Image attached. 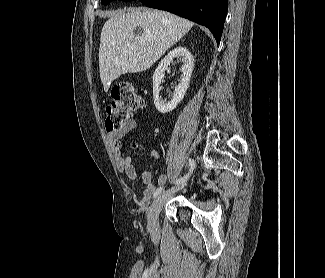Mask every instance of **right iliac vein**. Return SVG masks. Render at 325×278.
<instances>
[{"instance_id": "right-iliac-vein-1", "label": "right iliac vein", "mask_w": 325, "mask_h": 278, "mask_svg": "<svg viewBox=\"0 0 325 278\" xmlns=\"http://www.w3.org/2000/svg\"><path fill=\"white\" fill-rule=\"evenodd\" d=\"M182 186L172 188L161 193L151 204L147 214V227L151 234H156L159 230L158 216L163 207L167 197L174 191L179 190Z\"/></svg>"}]
</instances>
